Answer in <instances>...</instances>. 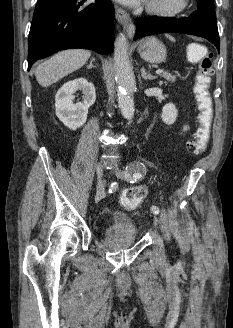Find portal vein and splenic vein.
<instances>
[{
  "label": "portal vein and splenic vein",
  "instance_id": "1",
  "mask_svg": "<svg viewBox=\"0 0 233 328\" xmlns=\"http://www.w3.org/2000/svg\"><path fill=\"white\" fill-rule=\"evenodd\" d=\"M164 72V70H162V69H158L157 71H156V74H162Z\"/></svg>",
  "mask_w": 233,
  "mask_h": 328
}]
</instances>
